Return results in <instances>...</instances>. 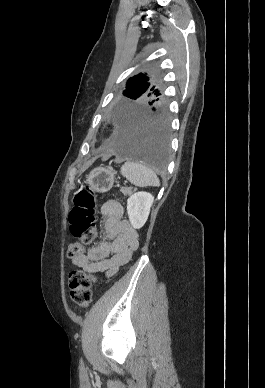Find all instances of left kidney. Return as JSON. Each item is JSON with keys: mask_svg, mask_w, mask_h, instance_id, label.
<instances>
[{"mask_svg": "<svg viewBox=\"0 0 265 388\" xmlns=\"http://www.w3.org/2000/svg\"><path fill=\"white\" fill-rule=\"evenodd\" d=\"M154 202L153 196L148 192H136L127 200V214L131 226L139 230L144 226L150 214V208Z\"/></svg>", "mask_w": 265, "mask_h": 388, "instance_id": "left-kidney-1", "label": "left kidney"}]
</instances>
